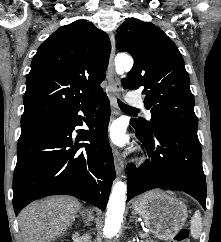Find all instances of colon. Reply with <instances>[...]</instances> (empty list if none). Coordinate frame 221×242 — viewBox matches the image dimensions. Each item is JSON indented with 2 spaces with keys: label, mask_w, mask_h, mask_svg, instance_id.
I'll return each instance as SVG.
<instances>
[{
  "label": "colon",
  "mask_w": 221,
  "mask_h": 242,
  "mask_svg": "<svg viewBox=\"0 0 221 242\" xmlns=\"http://www.w3.org/2000/svg\"><path fill=\"white\" fill-rule=\"evenodd\" d=\"M172 242H190L188 231L186 229L179 230L174 235Z\"/></svg>",
  "instance_id": "obj_1"
}]
</instances>
